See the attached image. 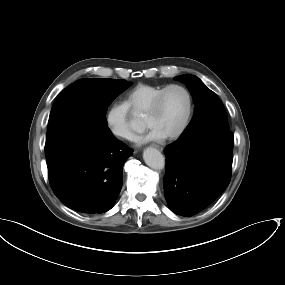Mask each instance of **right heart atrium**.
Returning <instances> with one entry per match:
<instances>
[{"label":"right heart atrium","mask_w":285,"mask_h":285,"mask_svg":"<svg viewBox=\"0 0 285 285\" xmlns=\"http://www.w3.org/2000/svg\"><path fill=\"white\" fill-rule=\"evenodd\" d=\"M104 120L109 132L118 139L131 140L134 138L129 112L123 104L108 105L104 113Z\"/></svg>","instance_id":"obj_1"}]
</instances>
